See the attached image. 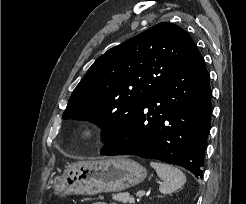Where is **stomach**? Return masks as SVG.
I'll list each match as a JSON object with an SVG mask.
<instances>
[{"label": "stomach", "instance_id": "obj_1", "mask_svg": "<svg viewBox=\"0 0 246 204\" xmlns=\"http://www.w3.org/2000/svg\"><path fill=\"white\" fill-rule=\"evenodd\" d=\"M146 169L138 162L115 157L95 161H79L70 165L65 173L51 184L56 195H96L123 191L141 183Z\"/></svg>", "mask_w": 246, "mask_h": 204}]
</instances>
